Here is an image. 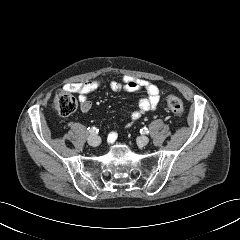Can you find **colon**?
<instances>
[{
	"label": "colon",
	"instance_id": "5ec220e1",
	"mask_svg": "<svg viewBox=\"0 0 240 240\" xmlns=\"http://www.w3.org/2000/svg\"><path fill=\"white\" fill-rule=\"evenodd\" d=\"M167 104L175 115L180 116L183 113V102L177 96L169 95ZM53 107L61 116H69L78 109L79 103L68 91L58 90L54 97Z\"/></svg>",
	"mask_w": 240,
	"mask_h": 240
}]
</instances>
